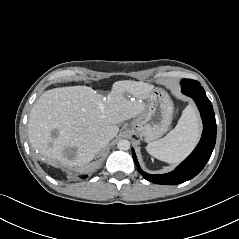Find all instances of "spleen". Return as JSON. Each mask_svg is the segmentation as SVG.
I'll use <instances>...</instances> for the list:
<instances>
[{
	"label": "spleen",
	"mask_w": 239,
	"mask_h": 239,
	"mask_svg": "<svg viewBox=\"0 0 239 239\" xmlns=\"http://www.w3.org/2000/svg\"><path fill=\"white\" fill-rule=\"evenodd\" d=\"M200 137V124L197 112L188 105L175 126L164 138L148 143L147 152L167 163H179L194 148Z\"/></svg>",
	"instance_id": "spleen-1"
}]
</instances>
